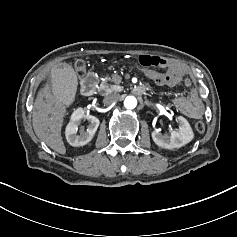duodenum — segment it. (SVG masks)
<instances>
[{
  "label": "duodenum",
  "instance_id": "1",
  "mask_svg": "<svg viewBox=\"0 0 237 237\" xmlns=\"http://www.w3.org/2000/svg\"><path fill=\"white\" fill-rule=\"evenodd\" d=\"M97 84V75L94 72H88L81 79V92L84 96H90L94 93ZM136 91H140L138 87H136Z\"/></svg>",
  "mask_w": 237,
  "mask_h": 237
}]
</instances>
